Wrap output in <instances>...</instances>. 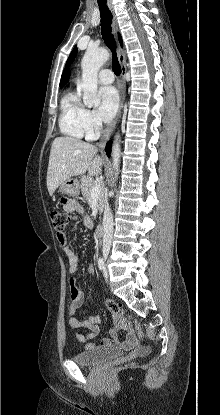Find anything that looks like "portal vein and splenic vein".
I'll return each instance as SVG.
<instances>
[{"instance_id":"obj_1","label":"portal vein and splenic vein","mask_w":220,"mask_h":415,"mask_svg":"<svg viewBox=\"0 0 220 415\" xmlns=\"http://www.w3.org/2000/svg\"><path fill=\"white\" fill-rule=\"evenodd\" d=\"M102 189V182L101 180H97L95 182V185L93 186L91 190V197H97Z\"/></svg>"}]
</instances>
